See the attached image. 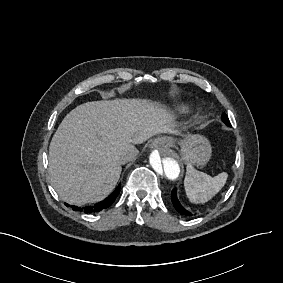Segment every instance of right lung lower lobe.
I'll list each match as a JSON object with an SVG mask.
<instances>
[{
    "label": "right lung lower lobe",
    "instance_id": "1",
    "mask_svg": "<svg viewBox=\"0 0 283 283\" xmlns=\"http://www.w3.org/2000/svg\"><path fill=\"white\" fill-rule=\"evenodd\" d=\"M120 192V186H118L112 194H110L106 199L101 202L96 203L94 206H86L84 208H78L77 206H72L73 210H78L84 213H96L103 209L108 208L116 199Z\"/></svg>",
    "mask_w": 283,
    "mask_h": 283
}]
</instances>
